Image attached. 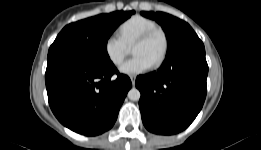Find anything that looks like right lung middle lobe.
I'll return each mask as SVG.
<instances>
[{
    "label": "right lung middle lobe",
    "instance_id": "dd1d6c3e",
    "mask_svg": "<svg viewBox=\"0 0 261 150\" xmlns=\"http://www.w3.org/2000/svg\"><path fill=\"white\" fill-rule=\"evenodd\" d=\"M134 11L100 14L63 28L50 46L47 62L71 60L89 64L109 62L107 41Z\"/></svg>",
    "mask_w": 261,
    "mask_h": 150
}]
</instances>
